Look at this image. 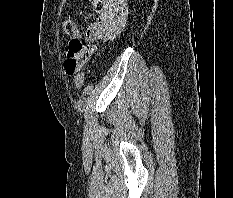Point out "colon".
<instances>
[{"mask_svg":"<svg viewBox=\"0 0 233 198\" xmlns=\"http://www.w3.org/2000/svg\"><path fill=\"white\" fill-rule=\"evenodd\" d=\"M93 9L97 12L102 11L105 5V0H91ZM63 28L71 36L73 41L72 47L74 50L79 49L82 46V34L78 30L77 26L72 20H65ZM65 71L69 75H75V85L77 88H81L84 85L86 72L79 71V62L73 52H69L64 62Z\"/></svg>","mask_w":233,"mask_h":198,"instance_id":"obj_1","label":"colon"}]
</instances>
